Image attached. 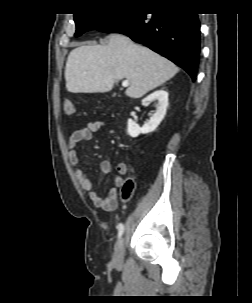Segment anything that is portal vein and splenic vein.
Here are the masks:
<instances>
[{
    "mask_svg": "<svg viewBox=\"0 0 252 303\" xmlns=\"http://www.w3.org/2000/svg\"><path fill=\"white\" fill-rule=\"evenodd\" d=\"M122 86H123V87L129 86V81H128V80H124V81L122 82Z\"/></svg>",
    "mask_w": 252,
    "mask_h": 303,
    "instance_id": "18ae733b",
    "label": "portal vein and splenic vein"
}]
</instances>
